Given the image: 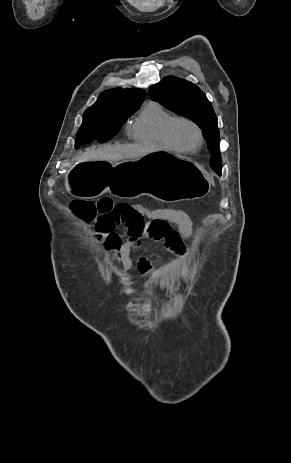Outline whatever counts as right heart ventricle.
I'll use <instances>...</instances> for the list:
<instances>
[{
	"instance_id": "1",
	"label": "right heart ventricle",
	"mask_w": 291,
	"mask_h": 463,
	"mask_svg": "<svg viewBox=\"0 0 291 463\" xmlns=\"http://www.w3.org/2000/svg\"><path fill=\"white\" fill-rule=\"evenodd\" d=\"M174 116L156 102L148 103L130 125L133 141L152 148L175 151L166 138V128Z\"/></svg>"
}]
</instances>
